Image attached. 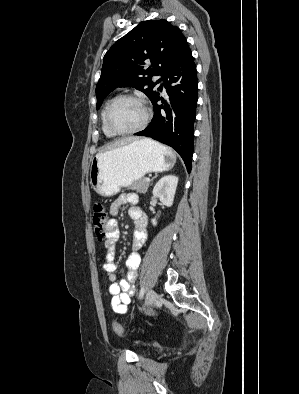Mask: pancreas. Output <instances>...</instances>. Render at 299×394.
<instances>
[{"mask_svg": "<svg viewBox=\"0 0 299 394\" xmlns=\"http://www.w3.org/2000/svg\"><path fill=\"white\" fill-rule=\"evenodd\" d=\"M148 187H149V182H146V180L143 178V179H140L137 182L133 183L129 187V189L135 190L137 193L144 194L147 192Z\"/></svg>", "mask_w": 299, "mask_h": 394, "instance_id": "1", "label": "pancreas"}]
</instances>
